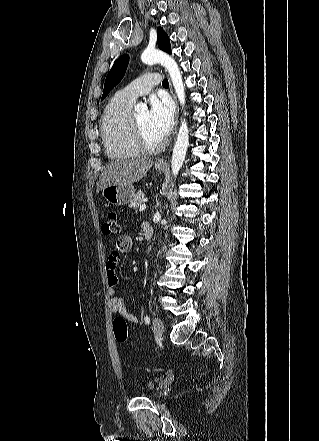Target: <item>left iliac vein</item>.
I'll return each mask as SVG.
<instances>
[{"label":"left iliac vein","mask_w":319,"mask_h":441,"mask_svg":"<svg viewBox=\"0 0 319 441\" xmlns=\"http://www.w3.org/2000/svg\"><path fill=\"white\" fill-rule=\"evenodd\" d=\"M153 332L156 336L161 337L164 332V324L162 320L158 317H155L153 320Z\"/></svg>","instance_id":"4c4485c4"}]
</instances>
